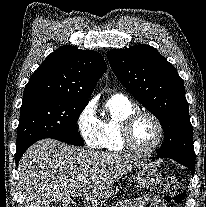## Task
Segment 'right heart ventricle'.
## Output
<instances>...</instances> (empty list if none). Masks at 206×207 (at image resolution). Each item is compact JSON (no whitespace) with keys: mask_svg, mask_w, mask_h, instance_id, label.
<instances>
[{"mask_svg":"<svg viewBox=\"0 0 206 207\" xmlns=\"http://www.w3.org/2000/svg\"><path fill=\"white\" fill-rule=\"evenodd\" d=\"M136 108L124 96L114 95L105 104V116L99 120V144L100 147L110 153H123L124 149L120 131L123 121Z\"/></svg>","mask_w":206,"mask_h":207,"instance_id":"right-heart-ventricle-1","label":"right heart ventricle"}]
</instances>
